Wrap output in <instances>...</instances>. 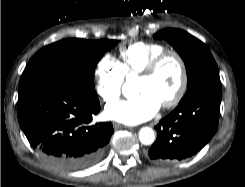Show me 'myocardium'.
I'll return each mask as SVG.
<instances>
[{
	"mask_svg": "<svg viewBox=\"0 0 245 187\" xmlns=\"http://www.w3.org/2000/svg\"><path fill=\"white\" fill-rule=\"evenodd\" d=\"M169 57H173L180 67V83L174 95L169 100L161 104L165 109L176 106L182 100L187 91L188 69L184 58L177 51L167 49L151 58L138 74L141 78L152 76L158 66Z\"/></svg>",
	"mask_w": 245,
	"mask_h": 187,
	"instance_id": "f54148a6",
	"label": "myocardium"
}]
</instances>
